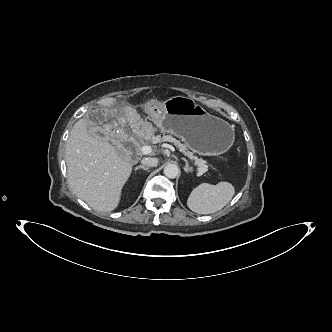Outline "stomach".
Returning <instances> with one entry per match:
<instances>
[{
	"instance_id": "1",
	"label": "stomach",
	"mask_w": 332,
	"mask_h": 332,
	"mask_svg": "<svg viewBox=\"0 0 332 332\" xmlns=\"http://www.w3.org/2000/svg\"><path fill=\"white\" fill-rule=\"evenodd\" d=\"M153 121L162 132L177 136L190 149L203 155L218 156L226 152L235 139L234 128L228 122L183 96L166 100Z\"/></svg>"
}]
</instances>
